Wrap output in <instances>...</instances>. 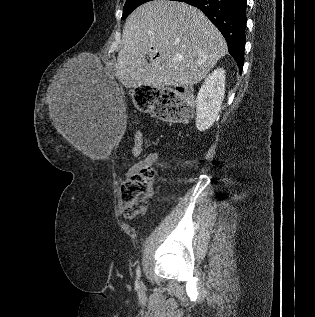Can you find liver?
I'll return each instance as SVG.
<instances>
[{
    "instance_id": "6515ba94",
    "label": "liver",
    "mask_w": 315,
    "mask_h": 317,
    "mask_svg": "<svg viewBox=\"0 0 315 317\" xmlns=\"http://www.w3.org/2000/svg\"><path fill=\"white\" fill-rule=\"evenodd\" d=\"M122 38L116 77L126 88L191 87L227 54L222 34L200 10L169 0H154L134 10L125 22ZM60 84L49 103L50 119L66 140L85 151L74 97L65 81Z\"/></svg>"
}]
</instances>
